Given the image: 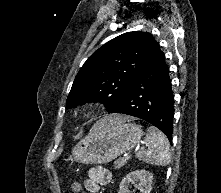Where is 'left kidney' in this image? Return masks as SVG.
<instances>
[{
	"label": "left kidney",
	"instance_id": "5707ae66",
	"mask_svg": "<svg viewBox=\"0 0 221 193\" xmlns=\"http://www.w3.org/2000/svg\"><path fill=\"white\" fill-rule=\"evenodd\" d=\"M152 173L146 170H135L125 176L120 185L118 193H130L128 186L130 183L134 184V187L140 190L141 193H150L152 189ZM137 182H139L137 184Z\"/></svg>",
	"mask_w": 221,
	"mask_h": 193
}]
</instances>
